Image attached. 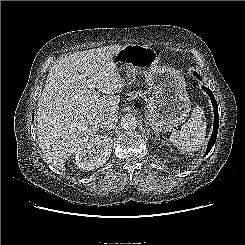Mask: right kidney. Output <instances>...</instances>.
I'll return each instance as SVG.
<instances>
[{
    "mask_svg": "<svg viewBox=\"0 0 245 245\" xmlns=\"http://www.w3.org/2000/svg\"><path fill=\"white\" fill-rule=\"evenodd\" d=\"M113 141L106 135H94L75 151V164L83 170L99 168L109 159Z\"/></svg>",
    "mask_w": 245,
    "mask_h": 245,
    "instance_id": "1",
    "label": "right kidney"
}]
</instances>
